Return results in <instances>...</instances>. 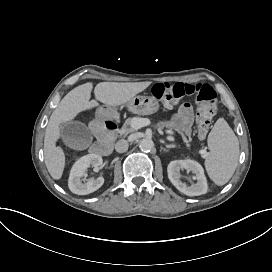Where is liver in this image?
<instances>
[{"instance_id": "1", "label": "liver", "mask_w": 272, "mask_h": 272, "mask_svg": "<svg viewBox=\"0 0 272 272\" xmlns=\"http://www.w3.org/2000/svg\"><path fill=\"white\" fill-rule=\"evenodd\" d=\"M153 81L141 82H100L94 88L93 82L84 83L64 96L50 116L44 135L45 165L51 177H62L66 156L61 146V125L74 120L79 114L100 107L97 101L107 107H119L129 103L136 95L145 91ZM97 101H90L92 91Z\"/></svg>"}]
</instances>
